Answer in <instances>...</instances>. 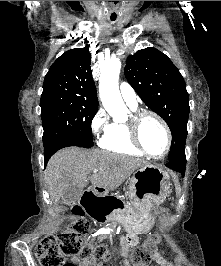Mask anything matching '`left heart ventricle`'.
<instances>
[{"mask_svg": "<svg viewBox=\"0 0 221 266\" xmlns=\"http://www.w3.org/2000/svg\"><path fill=\"white\" fill-rule=\"evenodd\" d=\"M140 139L153 155H160L166 147V135L160 123L153 117H146L140 127Z\"/></svg>", "mask_w": 221, "mask_h": 266, "instance_id": "left-heart-ventricle-1", "label": "left heart ventricle"}]
</instances>
